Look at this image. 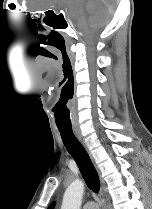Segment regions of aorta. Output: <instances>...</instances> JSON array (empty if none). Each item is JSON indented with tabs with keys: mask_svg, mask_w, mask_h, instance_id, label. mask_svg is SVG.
I'll list each match as a JSON object with an SVG mask.
<instances>
[{
	"mask_svg": "<svg viewBox=\"0 0 152 209\" xmlns=\"http://www.w3.org/2000/svg\"><path fill=\"white\" fill-rule=\"evenodd\" d=\"M83 193V182L73 181L64 193L61 209H80Z\"/></svg>",
	"mask_w": 152,
	"mask_h": 209,
	"instance_id": "obj_1",
	"label": "aorta"
}]
</instances>
